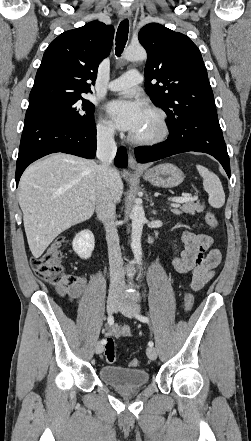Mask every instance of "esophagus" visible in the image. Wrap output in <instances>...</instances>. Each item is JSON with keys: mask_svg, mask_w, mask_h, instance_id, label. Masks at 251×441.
<instances>
[{"mask_svg": "<svg viewBox=\"0 0 251 441\" xmlns=\"http://www.w3.org/2000/svg\"><path fill=\"white\" fill-rule=\"evenodd\" d=\"M119 15H120L121 19H126L131 16V11L129 9H122V10H120ZM128 165L132 169H140L141 168V165L136 161L135 157L132 155L131 152H129V155H128Z\"/></svg>", "mask_w": 251, "mask_h": 441, "instance_id": "34e87169", "label": "esophagus"}]
</instances>
